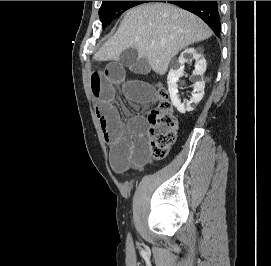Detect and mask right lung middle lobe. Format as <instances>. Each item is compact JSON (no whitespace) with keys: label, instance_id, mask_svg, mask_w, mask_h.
I'll return each mask as SVG.
<instances>
[{"label":"right lung middle lobe","instance_id":"1","mask_svg":"<svg viewBox=\"0 0 271 266\" xmlns=\"http://www.w3.org/2000/svg\"><path fill=\"white\" fill-rule=\"evenodd\" d=\"M146 2L150 1H103L99 9V17L103 28L119 17L124 11Z\"/></svg>","mask_w":271,"mask_h":266}]
</instances>
